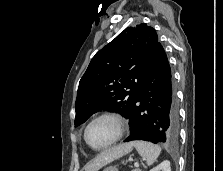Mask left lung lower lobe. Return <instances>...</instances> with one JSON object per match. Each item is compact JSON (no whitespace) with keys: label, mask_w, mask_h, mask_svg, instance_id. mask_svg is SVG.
Returning <instances> with one entry per match:
<instances>
[{"label":"left lung lower lobe","mask_w":223,"mask_h":171,"mask_svg":"<svg viewBox=\"0 0 223 171\" xmlns=\"http://www.w3.org/2000/svg\"><path fill=\"white\" fill-rule=\"evenodd\" d=\"M129 124L131 134L125 142L174 143L178 139L179 114L174 82L160 43L140 84Z\"/></svg>","instance_id":"obj_1"}]
</instances>
